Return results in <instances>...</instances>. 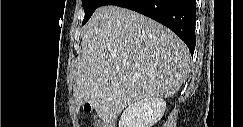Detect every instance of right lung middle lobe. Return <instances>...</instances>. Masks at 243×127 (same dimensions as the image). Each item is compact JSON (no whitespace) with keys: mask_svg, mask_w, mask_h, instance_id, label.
<instances>
[{"mask_svg":"<svg viewBox=\"0 0 243 127\" xmlns=\"http://www.w3.org/2000/svg\"><path fill=\"white\" fill-rule=\"evenodd\" d=\"M104 1L105 0H82V6H83L84 12H85V17H84L82 25H84L89 20V18L93 14V12L98 7L102 6Z\"/></svg>","mask_w":243,"mask_h":127,"instance_id":"1","label":"right lung middle lobe"}]
</instances>
